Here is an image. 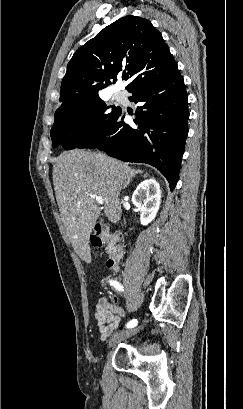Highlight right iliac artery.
I'll use <instances>...</instances> for the list:
<instances>
[{
    "label": "right iliac artery",
    "mask_w": 243,
    "mask_h": 409,
    "mask_svg": "<svg viewBox=\"0 0 243 409\" xmlns=\"http://www.w3.org/2000/svg\"><path fill=\"white\" fill-rule=\"evenodd\" d=\"M111 285H113L116 289H118L119 291L122 290V286L116 282V281H110ZM138 321L136 319H133L131 321H129L126 325L127 328H133L137 325Z\"/></svg>",
    "instance_id": "82829eb1"
}]
</instances>
